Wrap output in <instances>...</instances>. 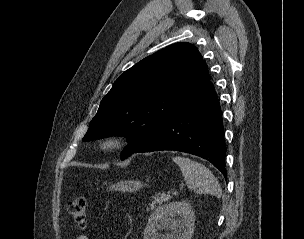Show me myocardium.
Returning <instances> with one entry per match:
<instances>
[{"mask_svg":"<svg viewBox=\"0 0 304 239\" xmlns=\"http://www.w3.org/2000/svg\"><path fill=\"white\" fill-rule=\"evenodd\" d=\"M123 138L118 134H109L100 140V148L105 152H113L123 145Z\"/></svg>","mask_w":304,"mask_h":239,"instance_id":"myocardium-1","label":"myocardium"}]
</instances>
